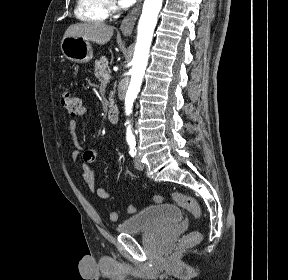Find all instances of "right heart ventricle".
I'll return each mask as SVG.
<instances>
[{
	"label": "right heart ventricle",
	"mask_w": 288,
	"mask_h": 280,
	"mask_svg": "<svg viewBox=\"0 0 288 280\" xmlns=\"http://www.w3.org/2000/svg\"><path fill=\"white\" fill-rule=\"evenodd\" d=\"M75 15L86 22H102L109 16L107 0H77Z\"/></svg>",
	"instance_id": "right-heart-ventricle-1"
}]
</instances>
